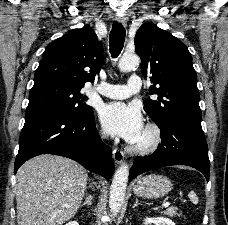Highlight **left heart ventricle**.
Returning a JSON list of instances; mask_svg holds the SVG:
<instances>
[{
    "label": "left heart ventricle",
    "instance_id": "obj_1",
    "mask_svg": "<svg viewBox=\"0 0 228 225\" xmlns=\"http://www.w3.org/2000/svg\"><path fill=\"white\" fill-rule=\"evenodd\" d=\"M146 141L145 135L144 133H142V135L140 136V138L138 140L135 141V143H144Z\"/></svg>",
    "mask_w": 228,
    "mask_h": 225
}]
</instances>
